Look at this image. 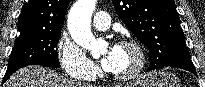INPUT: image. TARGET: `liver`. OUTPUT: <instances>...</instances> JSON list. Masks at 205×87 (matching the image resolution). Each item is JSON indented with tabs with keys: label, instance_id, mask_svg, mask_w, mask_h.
Wrapping results in <instances>:
<instances>
[{
	"label": "liver",
	"instance_id": "1",
	"mask_svg": "<svg viewBox=\"0 0 205 87\" xmlns=\"http://www.w3.org/2000/svg\"><path fill=\"white\" fill-rule=\"evenodd\" d=\"M3 87H90L48 68L33 65L15 72Z\"/></svg>",
	"mask_w": 205,
	"mask_h": 87
}]
</instances>
